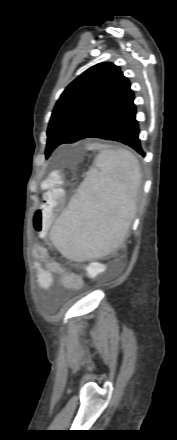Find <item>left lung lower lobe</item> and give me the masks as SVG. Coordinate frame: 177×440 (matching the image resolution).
<instances>
[{"label": "left lung lower lobe", "mask_w": 177, "mask_h": 440, "mask_svg": "<svg viewBox=\"0 0 177 440\" xmlns=\"http://www.w3.org/2000/svg\"><path fill=\"white\" fill-rule=\"evenodd\" d=\"M91 137L126 144L144 157L145 152L142 150L139 139V125L136 120L134 97L128 104L87 133L82 139Z\"/></svg>", "instance_id": "1"}]
</instances>
